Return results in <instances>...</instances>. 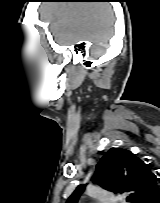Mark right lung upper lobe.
I'll use <instances>...</instances> for the list:
<instances>
[{"mask_svg":"<svg viewBox=\"0 0 160 203\" xmlns=\"http://www.w3.org/2000/svg\"><path fill=\"white\" fill-rule=\"evenodd\" d=\"M93 181L114 193H128L132 203H147L160 192V179L136 154L111 148L96 166ZM85 185L78 186L66 203H77Z\"/></svg>","mask_w":160,"mask_h":203,"instance_id":"obj_1","label":"right lung upper lobe"}]
</instances>
